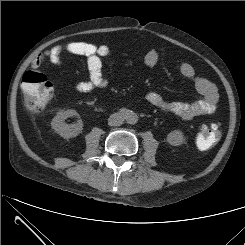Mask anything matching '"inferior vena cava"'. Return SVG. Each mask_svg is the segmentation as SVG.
Here are the masks:
<instances>
[{"label":"inferior vena cava","instance_id":"1","mask_svg":"<svg viewBox=\"0 0 245 245\" xmlns=\"http://www.w3.org/2000/svg\"><path fill=\"white\" fill-rule=\"evenodd\" d=\"M124 117L118 113L112 114L108 119V125L120 126L123 124Z\"/></svg>","mask_w":245,"mask_h":245}]
</instances>
